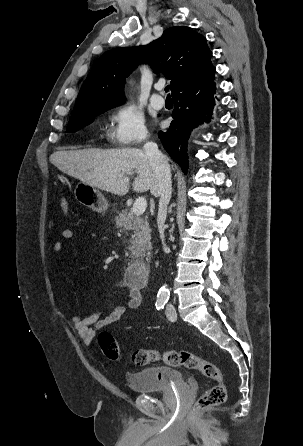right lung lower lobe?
<instances>
[{
    "instance_id": "98d812e1",
    "label": "right lung lower lobe",
    "mask_w": 303,
    "mask_h": 446,
    "mask_svg": "<svg viewBox=\"0 0 303 446\" xmlns=\"http://www.w3.org/2000/svg\"><path fill=\"white\" fill-rule=\"evenodd\" d=\"M215 77L191 84L172 94L174 110L170 128L159 132V138L170 156L186 174L188 168L187 141L197 124L211 118L215 105Z\"/></svg>"
}]
</instances>
